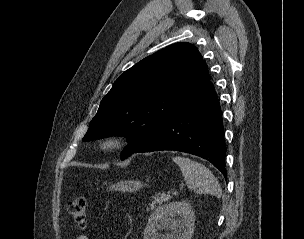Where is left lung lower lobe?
Masks as SVG:
<instances>
[{
    "label": "left lung lower lobe",
    "mask_w": 304,
    "mask_h": 239,
    "mask_svg": "<svg viewBox=\"0 0 304 239\" xmlns=\"http://www.w3.org/2000/svg\"><path fill=\"white\" fill-rule=\"evenodd\" d=\"M162 150L182 151L202 157L227 177L221 109L210 80L144 145L121 159L135 152Z\"/></svg>",
    "instance_id": "1"
}]
</instances>
